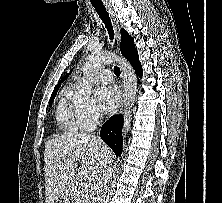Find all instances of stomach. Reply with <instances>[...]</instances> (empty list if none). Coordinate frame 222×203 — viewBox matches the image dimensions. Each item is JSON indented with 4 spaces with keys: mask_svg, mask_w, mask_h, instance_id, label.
I'll list each match as a JSON object with an SVG mask.
<instances>
[{
    "mask_svg": "<svg viewBox=\"0 0 222 203\" xmlns=\"http://www.w3.org/2000/svg\"><path fill=\"white\" fill-rule=\"evenodd\" d=\"M67 200H68V201H67V203H70V201H69V200H70V198H68Z\"/></svg>",
    "mask_w": 222,
    "mask_h": 203,
    "instance_id": "1",
    "label": "stomach"
}]
</instances>
